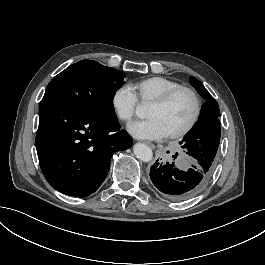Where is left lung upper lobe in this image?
<instances>
[{
    "label": "left lung upper lobe",
    "instance_id": "5c2ea615",
    "mask_svg": "<svg viewBox=\"0 0 265 265\" xmlns=\"http://www.w3.org/2000/svg\"><path fill=\"white\" fill-rule=\"evenodd\" d=\"M191 85L206 100L203 104L198 121L183 139V148L197 160L215 161L220 143V110L216 100L209 94L202 83L190 77Z\"/></svg>",
    "mask_w": 265,
    "mask_h": 265
}]
</instances>
